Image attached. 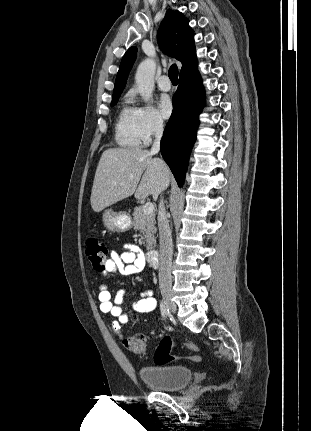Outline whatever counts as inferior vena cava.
Wrapping results in <instances>:
<instances>
[{
  "label": "inferior vena cava",
  "instance_id": "1",
  "mask_svg": "<svg viewBox=\"0 0 311 431\" xmlns=\"http://www.w3.org/2000/svg\"><path fill=\"white\" fill-rule=\"evenodd\" d=\"M163 134L162 120H158L155 126V140L151 148L150 154H158L160 152V142ZM158 227L160 235L159 245V285L161 293L168 295L172 291L171 267H172V235L169 223L166 217V210L163 198H161L158 206Z\"/></svg>",
  "mask_w": 311,
  "mask_h": 431
}]
</instances>
